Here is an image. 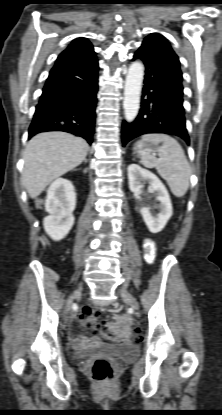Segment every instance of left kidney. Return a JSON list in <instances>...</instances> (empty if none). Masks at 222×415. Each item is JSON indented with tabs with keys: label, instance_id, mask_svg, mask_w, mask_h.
I'll return each instance as SVG.
<instances>
[{
	"label": "left kidney",
	"instance_id": "obj_1",
	"mask_svg": "<svg viewBox=\"0 0 222 415\" xmlns=\"http://www.w3.org/2000/svg\"><path fill=\"white\" fill-rule=\"evenodd\" d=\"M129 188L133 193L140 194L144 185L142 181L149 184L150 191L156 194V199L160 202L159 213L153 216L148 207H142L140 213L148 229L152 233L160 232L172 216V204L169 193L161 180L152 172L141 168L137 164L128 166Z\"/></svg>",
	"mask_w": 222,
	"mask_h": 415
}]
</instances>
